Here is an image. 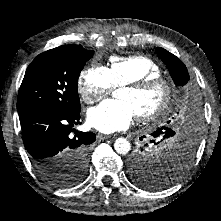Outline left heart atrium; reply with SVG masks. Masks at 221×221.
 Segmentation results:
<instances>
[{
	"instance_id": "1",
	"label": "left heart atrium",
	"mask_w": 221,
	"mask_h": 221,
	"mask_svg": "<svg viewBox=\"0 0 221 221\" xmlns=\"http://www.w3.org/2000/svg\"><path fill=\"white\" fill-rule=\"evenodd\" d=\"M135 113L129 103L123 100L107 99L89 109L88 123L103 133H113L128 128Z\"/></svg>"
}]
</instances>
